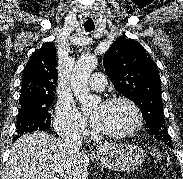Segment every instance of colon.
Masks as SVG:
<instances>
[{
  "label": "colon",
  "mask_w": 183,
  "mask_h": 179,
  "mask_svg": "<svg viewBox=\"0 0 183 179\" xmlns=\"http://www.w3.org/2000/svg\"><path fill=\"white\" fill-rule=\"evenodd\" d=\"M152 155L154 157V160H155L156 164L159 166L160 165V162H161V154H160V152L157 151V150H154L152 152ZM163 179H171V178H169V177H163Z\"/></svg>",
  "instance_id": "5ec220e1"
}]
</instances>
